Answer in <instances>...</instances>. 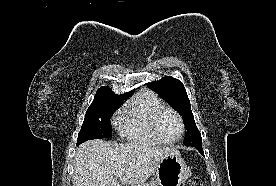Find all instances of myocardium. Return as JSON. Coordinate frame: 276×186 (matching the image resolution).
Returning a JSON list of instances; mask_svg holds the SVG:
<instances>
[{
  "instance_id": "obj_1",
  "label": "myocardium",
  "mask_w": 276,
  "mask_h": 186,
  "mask_svg": "<svg viewBox=\"0 0 276 186\" xmlns=\"http://www.w3.org/2000/svg\"><path fill=\"white\" fill-rule=\"evenodd\" d=\"M164 112H171L172 114H174L176 116V118L179 121V124H180V127H181V132H180L179 136L176 139H174V140H168V139H166L161 134V132L159 130V126H158L159 118L161 117V115ZM151 125H152V130H153V133L155 134V136L160 141H162L163 143H166V144H175V143H177L178 141H180L182 139V137H183V135L185 133V124H184V120H183L182 116L174 108L169 107V106H162L161 108H159L154 113V115L152 117Z\"/></svg>"
}]
</instances>
